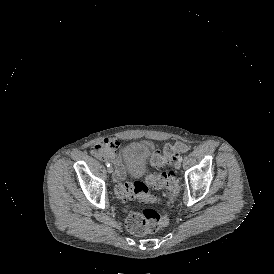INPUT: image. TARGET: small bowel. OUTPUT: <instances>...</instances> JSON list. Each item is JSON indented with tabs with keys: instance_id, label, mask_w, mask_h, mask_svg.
<instances>
[{
	"instance_id": "small-bowel-1",
	"label": "small bowel",
	"mask_w": 274,
	"mask_h": 274,
	"mask_svg": "<svg viewBox=\"0 0 274 274\" xmlns=\"http://www.w3.org/2000/svg\"><path fill=\"white\" fill-rule=\"evenodd\" d=\"M140 146L148 150L154 149V145L150 141H143L140 143ZM134 149L135 145L133 144L122 146L115 139H104L94 143L91 146L90 151L96 158L102 161L111 162L115 167L116 180H122L127 175V167L122 161L119 151L131 152Z\"/></svg>"
}]
</instances>
